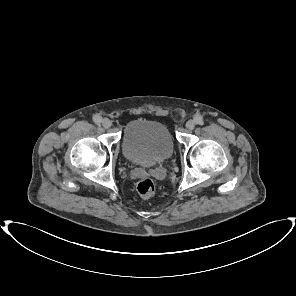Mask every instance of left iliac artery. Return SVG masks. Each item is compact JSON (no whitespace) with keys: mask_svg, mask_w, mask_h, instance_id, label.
<instances>
[{"mask_svg":"<svg viewBox=\"0 0 296 296\" xmlns=\"http://www.w3.org/2000/svg\"><path fill=\"white\" fill-rule=\"evenodd\" d=\"M195 122L199 125H202L203 124V118L201 116H196L195 117Z\"/></svg>","mask_w":296,"mask_h":296,"instance_id":"obj_1","label":"left iliac artery"}]
</instances>
